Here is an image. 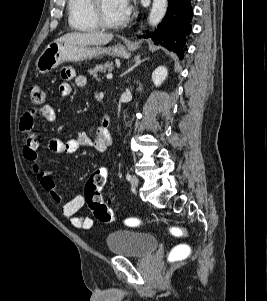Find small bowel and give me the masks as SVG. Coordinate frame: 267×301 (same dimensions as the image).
I'll list each match as a JSON object with an SVG mask.
<instances>
[{
	"label": "small bowel",
	"instance_id": "small-bowel-1",
	"mask_svg": "<svg viewBox=\"0 0 267 301\" xmlns=\"http://www.w3.org/2000/svg\"><path fill=\"white\" fill-rule=\"evenodd\" d=\"M63 82L59 86V94L62 97L71 95L72 88L68 81L75 79V84L78 88L85 89L88 87V80L85 76H75V73L70 68H65L61 72ZM37 115L46 122L55 120V111L51 106H44ZM36 112H26L20 118L19 129L25 135V143L23 146V155L31 163L32 170L40 186L49 194L50 198L59 203L61 196L56 188L55 182L51 174L42 169L41 162L38 156L39 138L34 130V120ZM111 144V136L107 129L99 126L91 140L84 133H78L74 138L68 141H62L58 138H50L48 140V148L50 151L58 154H72L82 147H93L98 152H104ZM84 205V198L78 194L72 199L65 202L61 207L62 215L69 219L71 224L79 229H90L93 225V220L89 217H79L77 213Z\"/></svg>",
	"mask_w": 267,
	"mask_h": 301
}]
</instances>
